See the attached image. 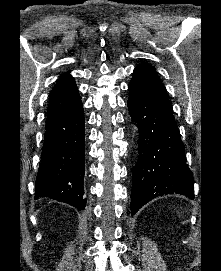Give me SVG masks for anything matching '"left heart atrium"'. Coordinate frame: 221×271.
Returning <instances> with one entry per match:
<instances>
[{
  "label": "left heart atrium",
  "instance_id": "left-heart-atrium-1",
  "mask_svg": "<svg viewBox=\"0 0 221 271\" xmlns=\"http://www.w3.org/2000/svg\"><path fill=\"white\" fill-rule=\"evenodd\" d=\"M94 94H107V92H93ZM140 94H144L143 92Z\"/></svg>",
  "mask_w": 221,
  "mask_h": 271
}]
</instances>
